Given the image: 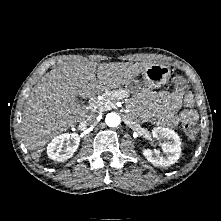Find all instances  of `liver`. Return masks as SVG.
<instances>
[{
  "label": "liver",
  "mask_w": 221,
  "mask_h": 221,
  "mask_svg": "<svg viewBox=\"0 0 221 221\" xmlns=\"http://www.w3.org/2000/svg\"><path fill=\"white\" fill-rule=\"evenodd\" d=\"M148 66L138 62L76 61L45 74L27 98L21 121L22 140L33 159L39 160L52 138L82 120L78 96L92 98L126 85Z\"/></svg>",
  "instance_id": "6515ba94"
}]
</instances>
